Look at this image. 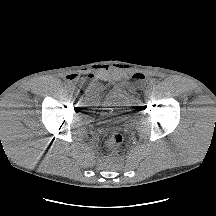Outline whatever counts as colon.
<instances>
[{
  "label": "colon",
  "instance_id": "obj_1",
  "mask_svg": "<svg viewBox=\"0 0 216 216\" xmlns=\"http://www.w3.org/2000/svg\"><path fill=\"white\" fill-rule=\"evenodd\" d=\"M123 143V136L119 132H112L109 136L105 139L104 145L105 147L115 150L118 149L121 144Z\"/></svg>",
  "mask_w": 216,
  "mask_h": 216
}]
</instances>
